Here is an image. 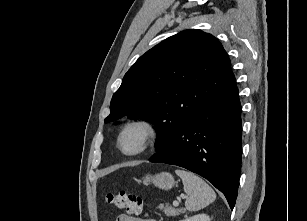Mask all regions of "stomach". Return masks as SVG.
<instances>
[{"label":"stomach","instance_id":"obj_1","mask_svg":"<svg viewBox=\"0 0 307 221\" xmlns=\"http://www.w3.org/2000/svg\"><path fill=\"white\" fill-rule=\"evenodd\" d=\"M139 182L148 185L154 184L156 187L169 190L176 185L173 176L169 172H161L154 175L146 174Z\"/></svg>","mask_w":307,"mask_h":221}]
</instances>
